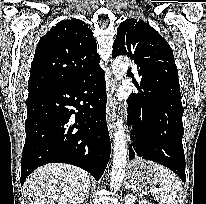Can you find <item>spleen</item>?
Here are the masks:
<instances>
[{
    "label": "spleen",
    "instance_id": "spleen-1",
    "mask_svg": "<svg viewBox=\"0 0 206 204\" xmlns=\"http://www.w3.org/2000/svg\"><path fill=\"white\" fill-rule=\"evenodd\" d=\"M159 187L150 190L159 204H181L183 199L182 185L179 178L169 169L159 166Z\"/></svg>",
    "mask_w": 206,
    "mask_h": 204
}]
</instances>
